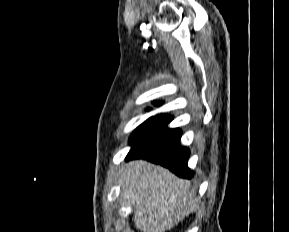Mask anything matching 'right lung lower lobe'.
<instances>
[{"label": "right lung lower lobe", "instance_id": "right-lung-lower-lobe-1", "mask_svg": "<svg viewBox=\"0 0 289 232\" xmlns=\"http://www.w3.org/2000/svg\"><path fill=\"white\" fill-rule=\"evenodd\" d=\"M182 132L164 127L132 145L127 160L143 158L169 168L176 175L190 179L194 172L188 168L190 151L180 145Z\"/></svg>", "mask_w": 289, "mask_h": 232}]
</instances>
